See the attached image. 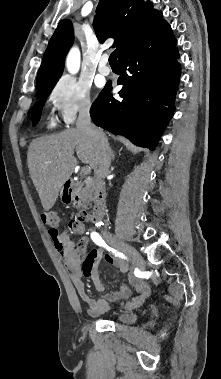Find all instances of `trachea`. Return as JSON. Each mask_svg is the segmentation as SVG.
<instances>
[{"label":"trachea","mask_w":221,"mask_h":379,"mask_svg":"<svg viewBox=\"0 0 221 379\" xmlns=\"http://www.w3.org/2000/svg\"><path fill=\"white\" fill-rule=\"evenodd\" d=\"M110 65H117L116 51H113L109 57Z\"/></svg>","instance_id":"1"}]
</instances>
